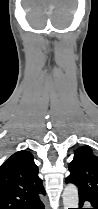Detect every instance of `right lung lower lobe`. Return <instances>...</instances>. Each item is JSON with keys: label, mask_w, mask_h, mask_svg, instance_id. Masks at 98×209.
Masks as SVG:
<instances>
[{"label": "right lung lower lobe", "mask_w": 98, "mask_h": 209, "mask_svg": "<svg viewBox=\"0 0 98 209\" xmlns=\"http://www.w3.org/2000/svg\"><path fill=\"white\" fill-rule=\"evenodd\" d=\"M45 195V192L43 193ZM21 209H44V204L38 197L36 200L33 202L27 204L26 206L22 207Z\"/></svg>", "instance_id": "98d812e1"}]
</instances>
